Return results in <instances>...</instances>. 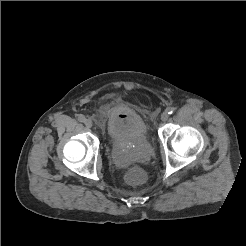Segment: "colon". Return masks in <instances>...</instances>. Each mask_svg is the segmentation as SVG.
<instances>
[{"label": "colon", "mask_w": 246, "mask_h": 246, "mask_svg": "<svg viewBox=\"0 0 246 246\" xmlns=\"http://www.w3.org/2000/svg\"><path fill=\"white\" fill-rule=\"evenodd\" d=\"M125 179L129 184L137 185L145 181L146 174L142 169L134 168L127 172Z\"/></svg>", "instance_id": "obj_1"}]
</instances>
